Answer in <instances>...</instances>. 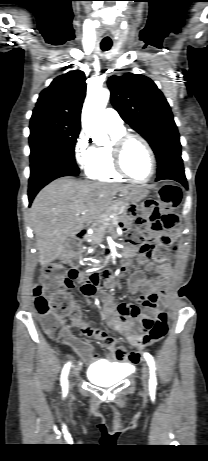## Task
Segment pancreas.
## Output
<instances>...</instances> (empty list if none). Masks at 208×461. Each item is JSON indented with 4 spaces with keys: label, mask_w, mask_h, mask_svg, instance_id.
<instances>
[{
    "label": "pancreas",
    "mask_w": 208,
    "mask_h": 461,
    "mask_svg": "<svg viewBox=\"0 0 208 461\" xmlns=\"http://www.w3.org/2000/svg\"><path fill=\"white\" fill-rule=\"evenodd\" d=\"M127 208L128 203L126 201H120L109 206L97 221L98 227L94 228L91 239L95 242H101L106 232L114 233L115 224L121 220ZM111 216L113 217L111 218Z\"/></svg>",
    "instance_id": "1"
}]
</instances>
